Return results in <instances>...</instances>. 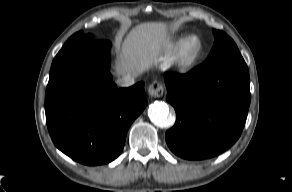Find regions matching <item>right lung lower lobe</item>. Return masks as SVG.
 <instances>
[{
  "instance_id": "obj_1",
  "label": "right lung lower lobe",
  "mask_w": 292,
  "mask_h": 192,
  "mask_svg": "<svg viewBox=\"0 0 292 192\" xmlns=\"http://www.w3.org/2000/svg\"><path fill=\"white\" fill-rule=\"evenodd\" d=\"M107 40L66 42L53 60L45 94L55 146L85 165L116 159L132 122L147 105L144 83L117 89Z\"/></svg>"
}]
</instances>
